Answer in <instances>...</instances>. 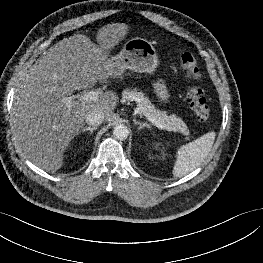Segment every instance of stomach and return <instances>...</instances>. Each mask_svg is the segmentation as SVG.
Segmentation results:
<instances>
[{
    "label": "stomach",
    "mask_w": 263,
    "mask_h": 263,
    "mask_svg": "<svg viewBox=\"0 0 263 263\" xmlns=\"http://www.w3.org/2000/svg\"><path fill=\"white\" fill-rule=\"evenodd\" d=\"M114 67V77L129 69L138 73L153 74L159 66L157 52L151 42L143 38L128 40L120 53L109 59Z\"/></svg>",
    "instance_id": "0dacf381"
}]
</instances>
